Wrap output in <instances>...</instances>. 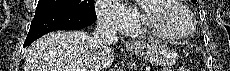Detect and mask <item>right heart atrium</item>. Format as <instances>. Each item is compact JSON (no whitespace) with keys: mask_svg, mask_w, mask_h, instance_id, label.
Here are the masks:
<instances>
[{"mask_svg":"<svg viewBox=\"0 0 230 71\" xmlns=\"http://www.w3.org/2000/svg\"><path fill=\"white\" fill-rule=\"evenodd\" d=\"M96 14L102 24L120 33L127 32L135 25V15L118 0H98Z\"/></svg>","mask_w":230,"mask_h":71,"instance_id":"d8ad5b80","label":"right heart atrium"}]
</instances>
